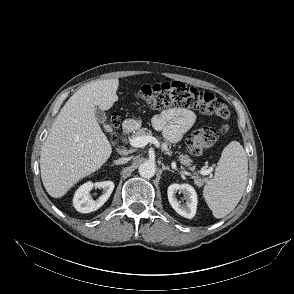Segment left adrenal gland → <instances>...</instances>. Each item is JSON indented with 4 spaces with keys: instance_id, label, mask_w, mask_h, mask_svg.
<instances>
[{
    "instance_id": "1",
    "label": "left adrenal gland",
    "mask_w": 294,
    "mask_h": 294,
    "mask_svg": "<svg viewBox=\"0 0 294 294\" xmlns=\"http://www.w3.org/2000/svg\"><path fill=\"white\" fill-rule=\"evenodd\" d=\"M161 165H162L163 171L168 170V171L174 172L172 169H170L168 166H165L163 163Z\"/></svg>"
}]
</instances>
